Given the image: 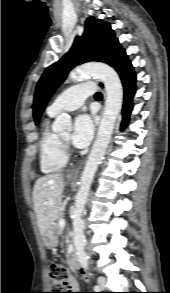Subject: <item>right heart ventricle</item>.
Here are the masks:
<instances>
[{
	"label": "right heart ventricle",
	"mask_w": 170,
	"mask_h": 293,
	"mask_svg": "<svg viewBox=\"0 0 170 293\" xmlns=\"http://www.w3.org/2000/svg\"><path fill=\"white\" fill-rule=\"evenodd\" d=\"M54 115L48 113L43 121L39 140V166L43 173L61 170L67 163L68 157L62 151L58 135L50 127V119Z\"/></svg>",
	"instance_id": "1"
}]
</instances>
